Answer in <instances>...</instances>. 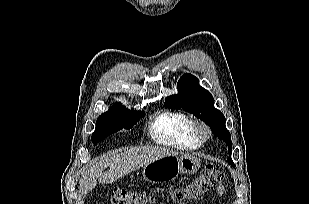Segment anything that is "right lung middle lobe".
I'll return each mask as SVG.
<instances>
[{"instance_id":"dd1d6c3e","label":"right lung middle lobe","mask_w":309,"mask_h":204,"mask_svg":"<svg viewBox=\"0 0 309 204\" xmlns=\"http://www.w3.org/2000/svg\"><path fill=\"white\" fill-rule=\"evenodd\" d=\"M144 116L143 111H134L115 103V106L98 117L92 142L97 143L121 129H131Z\"/></svg>"}]
</instances>
